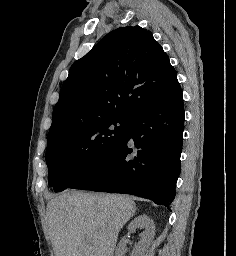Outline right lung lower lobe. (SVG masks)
<instances>
[{
  "instance_id": "right-lung-lower-lobe-1",
  "label": "right lung lower lobe",
  "mask_w": 236,
  "mask_h": 256,
  "mask_svg": "<svg viewBox=\"0 0 236 256\" xmlns=\"http://www.w3.org/2000/svg\"><path fill=\"white\" fill-rule=\"evenodd\" d=\"M183 124V95L177 85L146 103L123 142L68 188L133 194L169 209L181 168Z\"/></svg>"
}]
</instances>
